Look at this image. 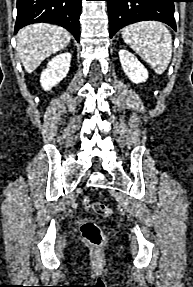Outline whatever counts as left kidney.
<instances>
[{"label":"left kidney","instance_id":"left-kidney-1","mask_svg":"<svg viewBox=\"0 0 193 287\" xmlns=\"http://www.w3.org/2000/svg\"><path fill=\"white\" fill-rule=\"evenodd\" d=\"M119 58L125 74L133 83L138 84L147 80V69L132 53L127 50H120Z\"/></svg>","mask_w":193,"mask_h":287}]
</instances>
